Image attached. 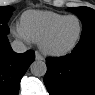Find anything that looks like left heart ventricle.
<instances>
[{
  "instance_id": "1",
  "label": "left heart ventricle",
  "mask_w": 95,
  "mask_h": 95,
  "mask_svg": "<svg viewBox=\"0 0 95 95\" xmlns=\"http://www.w3.org/2000/svg\"><path fill=\"white\" fill-rule=\"evenodd\" d=\"M79 33V22L75 18H69L54 33L49 41L53 48L63 49L70 46L77 38Z\"/></svg>"
}]
</instances>
